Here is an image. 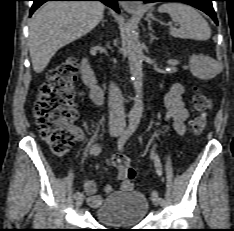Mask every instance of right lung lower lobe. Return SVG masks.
<instances>
[{
	"instance_id": "98d812e1",
	"label": "right lung lower lobe",
	"mask_w": 234,
	"mask_h": 231,
	"mask_svg": "<svg viewBox=\"0 0 234 231\" xmlns=\"http://www.w3.org/2000/svg\"><path fill=\"white\" fill-rule=\"evenodd\" d=\"M33 1H34V4L32 5L30 15H32V13L46 1H101L105 5L114 9L116 12H119V9L117 7V1L119 0H33Z\"/></svg>"
}]
</instances>
